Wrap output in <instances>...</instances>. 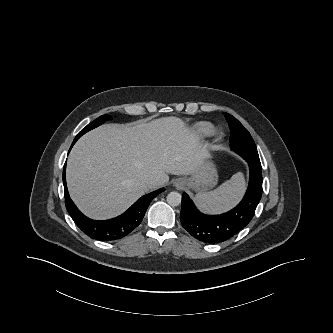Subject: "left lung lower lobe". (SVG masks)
Listing matches in <instances>:
<instances>
[{"instance_id": "obj_1", "label": "left lung lower lobe", "mask_w": 333, "mask_h": 333, "mask_svg": "<svg viewBox=\"0 0 333 333\" xmlns=\"http://www.w3.org/2000/svg\"><path fill=\"white\" fill-rule=\"evenodd\" d=\"M249 164V186L242 201L231 211L221 215H205L199 212L186 193L182 195L180 220L182 226L194 238L205 243L224 242L251 221L262 196L261 164L245 159Z\"/></svg>"}]
</instances>
